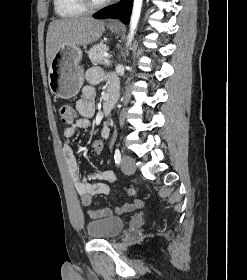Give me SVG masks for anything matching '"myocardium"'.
Listing matches in <instances>:
<instances>
[{
	"label": "myocardium",
	"instance_id": "1",
	"mask_svg": "<svg viewBox=\"0 0 247 280\" xmlns=\"http://www.w3.org/2000/svg\"><path fill=\"white\" fill-rule=\"evenodd\" d=\"M80 1L82 5L86 7L88 10H96L108 5L112 0H102V1L80 0Z\"/></svg>",
	"mask_w": 247,
	"mask_h": 280
}]
</instances>
